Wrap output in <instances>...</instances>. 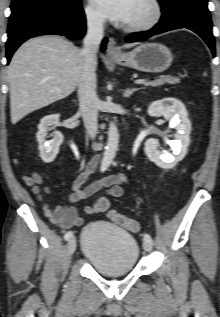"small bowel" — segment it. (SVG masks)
I'll list each match as a JSON object with an SVG mask.
<instances>
[{"instance_id": "1", "label": "small bowel", "mask_w": 220, "mask_h": 317, "mask_svg": "<svg viewBox=\"0 0 220 317\" xmlns=\"http://www.w3.org/2000/svg\"><path fill=\"white\" fill-rule=\"evenodd\" d=\"M97 162H90L86 169L81 172L72 183V192L69 195L70 204H61L55 208H51L44 200L41 191L49 193L47 187H42V176L34 172L32 175H24V183L30 187L32 192L37 196L38 200L42 203L43 211L46 217L62 229H68L73 226L83 224V218L79 215L76 207L81 201L91 197L98 191L105 189V195L100 197L92 206L84 208L85 213L89 215L104 212L107 209V197H120L124 193L123 185L125 179L122 175L112 174L99 181L93 182L84 187L91 173L96 169ZM106 204V206H103Z\"/></svg>"}]
</instances>
